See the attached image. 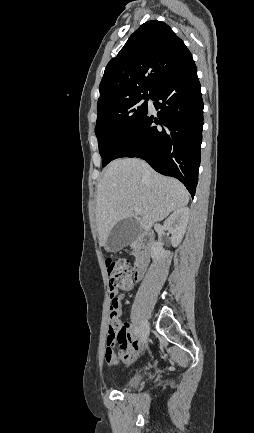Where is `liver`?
I'll return each instance as SVG.
<instances>
[{
    "mask_svg": "<svg viewBox=\"0 0 254 433\" xmlns=\"http://www.w3.org/2000/svg\"><path fill=\"white\" fill-rule=\"evenodd\" d=\"M188 202L189 193L178 180L160 175L140 159H116L97 186L99 245H106L110 231L121 220L135 218L141 229L149 230ZM136 207L141 213L134 211Z\"/></svg>",
    "mask_w": 254,
    "mask_h": 433,
    "instance_id": "6515ba94",
    "label": "liver"
}]
</instances>
